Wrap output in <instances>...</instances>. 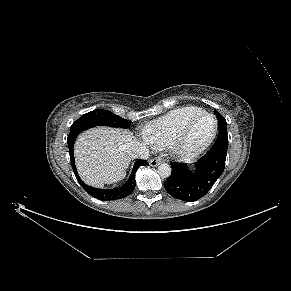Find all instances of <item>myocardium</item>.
<instances>
[{"label":"myocardium","instance_id":"1","mask_svg":"<svg viewBox=\"0 0 291 291\" xmlns=\"http://www.w3.org/2000/svg\"><path fill=\"white\" fill-rule=\"evenodd\" d=\"M203 117L213 118V120H214L213 132L209 136V138L201 145L196 146V147H189L187 145L188 136H189L192 128L194 127V125ZM217 132H218L217 118L215 117V115H213L211 113L204 112V113L197 115L193 119H191L182 128V130L174 137V139L171 141L169 147H170L172 153L177 158L182 159V160H189V159H192V158L199 156L204 151H206L209 148V146L213 143V141L215 140V138L217 136Z\"/></svg>","mask_w":291,"mask_h":291}]
</instances>
